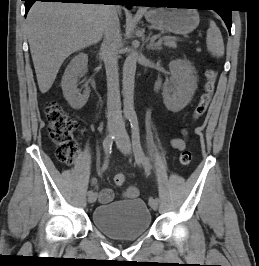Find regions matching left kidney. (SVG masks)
<instances>
[{"mask_svg":"<svg viewBox=\"0 0 259 266\" xmlns=\"http://www.w3.org/2000/svg\"><path fill=\"white\" fill-rule=\"evenodd\" d=\"M171 78L163 85V102L172 112H179L191 101L196 89L195 68L187 60L176 59L169 63Z\"/></svg>","mask_w":259,"mask_h":266,"instance_id":"1","label":"left kidney"}]
</instances>
